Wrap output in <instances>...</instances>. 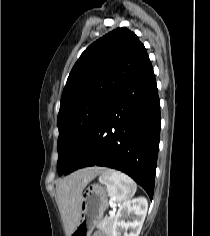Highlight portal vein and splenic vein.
Instances as JSON below:
<instances>
[{
    "label": "portal vein and splenic vein",
    "instance_id": "18ae733b",
    "mask_svg": "<svg viewBox=\"0 0 210 236\" xmlns=\"http://www.w3.org/2000/svg\"><path fill=\"white\" fill-rule=\"evenodd\" d=\"M109 214H110V216H114L115 215V205L113 207V211H110Z\"/></svg>",
    "mask_w": 210,
    "mask_h": 236
}]
</instances>
